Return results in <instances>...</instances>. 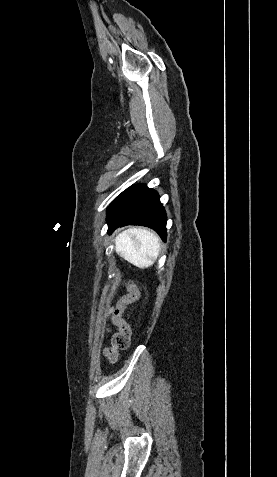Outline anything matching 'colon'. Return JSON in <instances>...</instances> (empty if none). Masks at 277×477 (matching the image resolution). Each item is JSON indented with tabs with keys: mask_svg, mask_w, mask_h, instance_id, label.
<instances>
[{
	"mask_svg": "<svg viewBox=\"0 0 277 477\" xmlns=\"http://www.w3.org/2000/svg\"><path fill=\"white\" fill-rule=\"evenodd\" d=\"M142 291L139 285L131 284L128 291L124 293L122 298L118 299L115 309L112 311L111 324L119 326V331L116 332L111 339L110 347L106 348L104 355L109 362H115L118 358V353L129 347L131 328L124 320L123 313L128 310L131 304H139L141 302Z\"/></svg>",
	"mask_w": 277,
	"mask_h": 477,
	"instance_id": "1",
	"label": "colon"
}]
</instances>
